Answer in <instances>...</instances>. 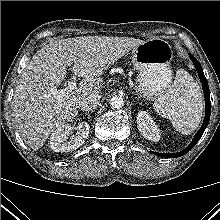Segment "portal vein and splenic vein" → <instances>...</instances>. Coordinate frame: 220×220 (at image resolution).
<instances>
[{
    "label": "portal vein and splenic vein",
    "mask_w": 220,
    "mask_h": 220,
    "mask_svg": "<svg viewBox=\"0 0 220 220\" xmlns=\"http://www.w3.org/2000/svg\"><path fill=\"white\" fill-rule=\"evenodd\" d=\"M76 87L77 85L75 79L68 81L67 87L54 91V94L56 95V99L60 101L63 97L73 92V90H75Z\"/></svg>",
    "instance_id": "obj_1"
}]
</instances>
